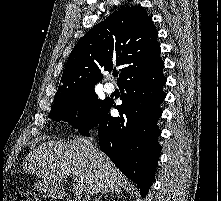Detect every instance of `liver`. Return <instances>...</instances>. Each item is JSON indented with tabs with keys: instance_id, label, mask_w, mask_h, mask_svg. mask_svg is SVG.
Returning <instances> with one entry per match:
<instances>
[{
	"instance_id": "1",
	"label": "liver",
	"mask_w": 221,
	"mask_h": 201,
	"mask_svg": "<svg viewBox=\"0 0 221 201\" xmlns=\"http://www.w3.org/2000/svg\"><path fill=\"white\" fill-rule=\"evenodd\" d=\"M23 167L55 188L72 175L88 195L120 190L127 184L112 161L85 138L44 142L27 155Z\"/></svg>"
}]
</instances>
